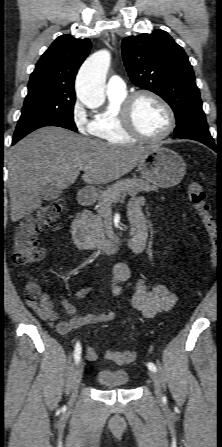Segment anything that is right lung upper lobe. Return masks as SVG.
Wrapping results in <instances>:
<instances>
[{
  "label": "right lung upper lobe",
  "mask_w": 222,
  "mask_h": 447,
  "mask_svg": "<svg viewBox=\"0 0 222 447\" xmlns=\"http://www.w3.org/2000/svg\"><path fill=\"white\" fill-rule=\"evenodd\" d=\"M90 48L88 38L59 36L37 62L29 80V88L47 85L55 92L75 95V76Z\"/></svg>",
  "instance_id": "cb5924a9"
}]
</instances>
